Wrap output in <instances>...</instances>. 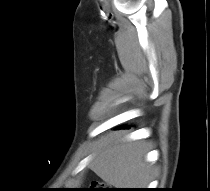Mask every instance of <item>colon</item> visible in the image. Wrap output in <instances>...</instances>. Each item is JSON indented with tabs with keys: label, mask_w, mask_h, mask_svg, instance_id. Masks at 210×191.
<instances>
[{
	"label": "colon",
	"mask_w": 210,
	"mask_h": 191,
	"mask_svg": "<svg viewBox=\"0 0 210 191\" xmlns=\"http://www.w3.org/2000/svg\"><path fill=\"white\" fill-rule=\"evenodd\" d=\"M92 187L93 188L91 191H108L107 188H105L104 185L99 182H94Z\"/></svg>",
	"instance_id": "1"
}]
</instances>
